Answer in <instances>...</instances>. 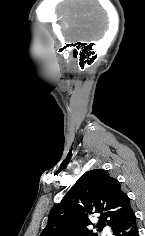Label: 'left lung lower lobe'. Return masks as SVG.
Here are the masks:
<instances>
[{
	"instance_id": "left-lung-lower-lobe-1",
	"label": "left lung lower lobe",
	"mask_w": 145,
	"mask_h": 236,
	"mask_svg": "<svg viewBox=\"0 0 145 236\" xmlns=\"http://www.w3.org/2000/svg\"><path fill=\"white\" fill-rule=\"evenodd\" d=\"M114 236H139L133 210L112 229Z\"/></svg>"
}]
</instances>
